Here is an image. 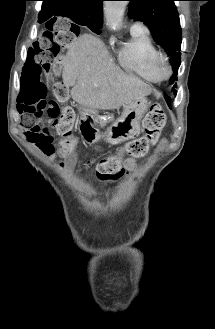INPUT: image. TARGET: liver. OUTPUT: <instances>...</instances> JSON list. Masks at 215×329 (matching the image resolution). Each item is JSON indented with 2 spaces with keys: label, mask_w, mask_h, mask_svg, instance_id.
Returning <instances> with one entry per match:
<instances>
[{
  "label": "liver",
  "mask_w": 215,
  "mask_h": 329,
  "mask_svg": "<svg viewBox=\"0 0 215 329\" xmlns=\"http://www.w3.org/2000/svg\"><path fill=\"white\" fill-rule=\"evenodd\" d=\"M62 78L66 87L72 86V99L92 109H116L152 92L149 85L116 66L104 44L89 34L71 42Z\"/></svg>",
  "instance_id": "6515ba94"
}]
</instances>
